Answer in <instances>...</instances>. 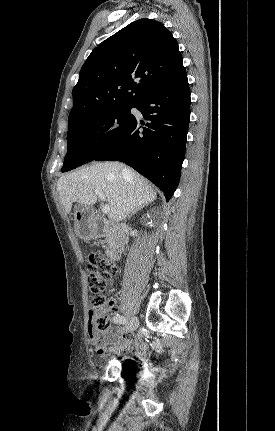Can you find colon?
<instances>
[{
  "label": "colon",
  "instance_id": "1",
  "mask_svg": "<svg viewBox=\"0 0 275 431\" xmlns=\"http://www.w3.org/2000/svg\"><path fill=\"white\" fill-rule=\"evenodd\" d=\"M117 272L116 264L100 253L89 256L87 282L92 294V304L95 308L93 314V325L98 331L109 327L110 313L114 308V302L108 301L102 292L107 281Z\"/></svg>",
  "mask_w": 275,
  "mask_h": 431
}]
</instances>
